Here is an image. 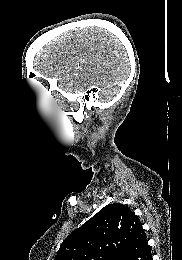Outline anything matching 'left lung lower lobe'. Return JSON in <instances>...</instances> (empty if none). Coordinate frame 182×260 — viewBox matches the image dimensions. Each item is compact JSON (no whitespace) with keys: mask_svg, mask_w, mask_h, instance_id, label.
<instances>
[{"mask_svg":"<svg viewBox=\"0 0 182 260\" xmlns=\"http://www.w3.org/2000/svg\"><path fill=\"white\" fill-rule=\"evenodd\" d=\"M121 260H152L151 249L142 227L132 237Z\"/></svg>","mask_w":182,"mask_h":260,"instance_id":"left-lung-lower-lobe-1","label":"left lung lower lobe"}]
</instances>
